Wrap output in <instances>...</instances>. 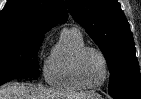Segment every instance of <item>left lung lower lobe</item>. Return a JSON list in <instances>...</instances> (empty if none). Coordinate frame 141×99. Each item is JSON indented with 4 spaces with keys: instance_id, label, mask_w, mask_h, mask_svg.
I'll return each mask as SVG.
<instances>
[{
    "instance_id": "1",
    "label": "left lung lower lobe",
    "mask_w": 141,
    "mask_h": 99,
    "mask_svg": "<svg viewBox=\"0 0 141 99\" xmlns=\"http://www.w3.org/2000/svg\"><path fill=\"white\" fill-rule=\"evenodd\" d=\"M109 94L115 99H141V92H109Z\"/></svg>"
}]
</instances>
